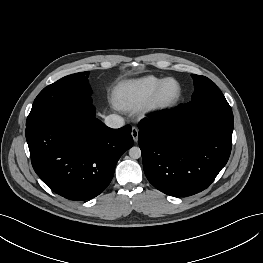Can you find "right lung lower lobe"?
Returning <instances> with one entry per match:
<instances>
[{
  "instance_id": "1",
  "label": "right lung lower lobe",
  "mask_w": 263,
  "mask_h": 263,
  "mask_svg": "<svg viewBox=\"0 0 263 263\" xmlns=\"http://www.w3.org/2000/svg\"><path fill=\"white\" fill-rule=\"evenodd\" d=\"M32 166L57 194L75 201L99 195L121 155L133 146L131 127L110 129L95 117L91 97L77 111L59 108L26 126Z\"/></svg>"
}]
</instances>
